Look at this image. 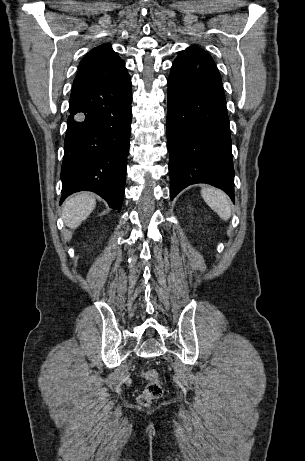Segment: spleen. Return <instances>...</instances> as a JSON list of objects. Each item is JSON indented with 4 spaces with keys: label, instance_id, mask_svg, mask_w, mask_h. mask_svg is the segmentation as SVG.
Wrapping results in <instances>:
<instances>
[{
    "label": "spleen",
    "instance_id": "1",
    "mask_svg": "<svg viewBox=\"0 0 305 461\" xmlns=\"http://www.w3.org/2000/svg\"><path fill=\"white\" fill-rule=\"evenodd\" d=\"M201 196L221 219L228 220L231 217L230 199L222 190L214 187H204L201 190Z\"/></svg>",
    "mask_w": 305,
    "mask_h": 461
}]
</instances>
